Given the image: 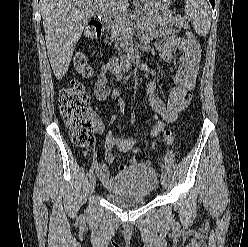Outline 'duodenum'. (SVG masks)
I'll list each match as a JSON object with an SVG mask.
<instances>
[{"label": "duodenum", "instance_id": "duodenum-1", "mask_svg": "<svg viewBox=\"0 0 248 247\" xmlns=\"http://www.w3.org/2000/svg\"><path fill=\"white\" fill-rule=\"evenodd\" d=\"M95 26L99 30H102L106 27V23L104 20H96ZM136 63V57L133 54L128 55L126 58H124L120 63L116 64V67L121 70H128Z\"/></svg>", "mask_w": 248, "mask_h": 247}]
</instances>
